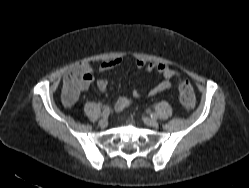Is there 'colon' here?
Masks as SVG:
<instances>
[{
    "mask_svg": "<svg viewBox=\"0 0 249 188\" xmlns=\"http://www.w3.org/2000/svg\"><path fill=\"white\" fill-rule=\"evenodd\" d=\"M75 74H76L75 71H71L72 76H74ZM178 91H179V100L182 106L187 110H191L195 105V95L193 87L190 84V82L184 78H179Z\"/></svg>",
    "mask_w": 249,
    "mask_h": 188,
    "instance_id": "1",
    "label": "colon"
}]
</instances>
